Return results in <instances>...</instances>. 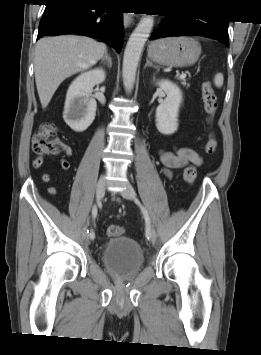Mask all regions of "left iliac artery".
<instances>
[{
	"label": "left iliac artery",
	"mask_w": 261,
	"mask_h": 355,
	"mask_svg": "<svg viewBox=\"0 0 261 355\" xmlns=\"http://www.w3.org/2000/svg\"><path fill=\"white\" fill-rule=\"evenodd\" d=\"M142 212H143V215H144V218L146 221L145 235L148 240H151L152 239V230H151L150 218H149L147 210L144 207H142Z\"/></svg>",
	"instance_id": "1"
}]
</instances>
